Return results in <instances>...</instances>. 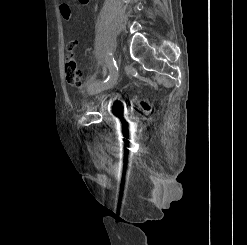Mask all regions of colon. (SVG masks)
Instances as JSON below:
<instances>
[{
    "label": "colon",
    "instance_id": "colon-1",
    "mask_svg": "<svg viewBox=\"0 0 247 245\" xmlns=\"http://www.w3.org/2000/svg\"><path fill=\"white\" fill-rule=\"evenodd\" d=\"M75 42H70L67 45V53L65 56V78L68 84L71 86H81L83 84V74L79 69L76 58L73 54ZM144 109H149V105L146 103L142 104Z\"/></svg>",
    "mask_w": 247,
    "mask_h": 245
}]
</instances>
